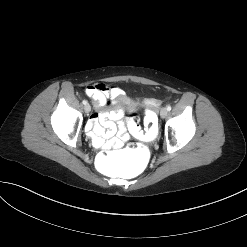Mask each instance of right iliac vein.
<instances>
[{
	"label": "right iliac vein",
	"mask_w": 247,
	"mask_h": 247,
	"mask_svg": "<svg viewBox=\"0 0 247 247\" xmlns=\"http://www.w3.org/2000/svg\"><path fill=\"white\" fill-rule=\"evenodd\" d=\"M84 110H85L86 113H89L91 111V106L89 104H86L84 106Z\"/></svg>",
	"instance_id": "obj_1"
}]
</instances>
